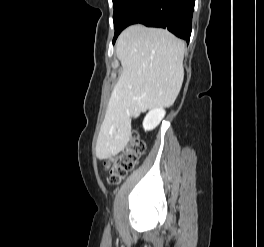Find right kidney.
I'll return each mask as SVG.
<instances>
[{
    "label": "right kidney",
    "instance_id": "1",
    "mask_svg": "<svg viewBox=\"0 0 264 247\" xmlns=\"http://www.w3.org/2000/svg\"><path fill=\"white\" fill-rule=\"evenodd\" d=\"M165 113L166 112L162 107L151 109L144 118L143 121L144 130L150 131L156 128L161 122V120L164 118Z\"/></svg>",
    "mask_w": 264,
    "mask_h": 247
}]
</instances>
